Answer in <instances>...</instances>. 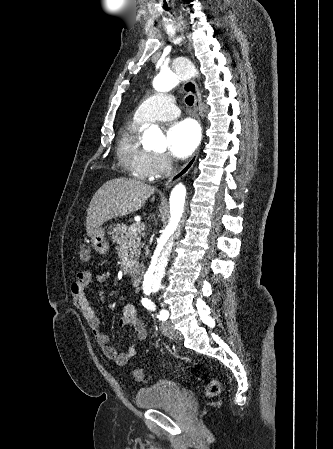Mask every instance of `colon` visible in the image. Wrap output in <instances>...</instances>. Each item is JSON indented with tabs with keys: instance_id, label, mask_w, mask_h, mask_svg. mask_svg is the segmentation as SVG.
Segmentation results:
<instances>
[{
	"instance_id": "colon-1",
	"label": "colon",
	"mask_w": 333,
	"mask_h": 449,
	"mask_svg": "<svg viewBox=\"0 0 333 449\" xmlns=\"http://www.w3.org/2000/svg\"><path fill=\"white\" fill-rule=\"evenodd\" d=\"M79 259L82 263H88L91 258V251L88 246H82L78 251ZM133 377L137 381H143L145 379V373L143 369H135ZM220 392V383L216 379H211L206 386L205 394L207 397H215Z\"/></svg>"
}]
</instances>
